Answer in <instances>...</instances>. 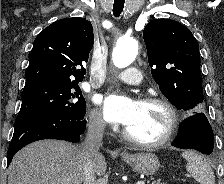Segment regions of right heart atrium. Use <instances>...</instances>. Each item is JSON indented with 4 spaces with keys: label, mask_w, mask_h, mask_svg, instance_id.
Returning <instances> with one entry per match:
<instances>
[{
    "label": "right heart atrium",
    "mask_w": 224,
    "mask_h": 184,
    "mask_svg": "<svg viewBox=\"0 0 224 184\" xmlns=\"http://www.w3.org/2000/svg\"><path fill=\"white\" fill-rule=\"evenodd\" d=\"M89 124L93 129H95L97 131H101L104 128L105 122H104L101 114L99 113V111L93 110L90 113Z\"/></svg>",
    "instance_id": "d8ad5b80"
}]
</instances>
